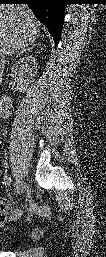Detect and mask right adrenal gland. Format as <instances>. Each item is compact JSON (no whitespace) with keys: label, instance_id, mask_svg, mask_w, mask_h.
<instances>
[{"label":"right adrenal gland","instance_id":"1","mask_svg":"<svg viewBox=\"0 0 106 257\" xmlns=\"http://www.w3.org/2000/svg\"><path fill=\"white\" fill-rule=\"evenodd\" d=\"M39 45H40V43L32 44V45L24 47L23 49H21L19 52L16 53V57L22 55L23 53H26L27 51H31L35 46H39Z\"/></svg>","mask_w":106,"mask_h":257}]
</instances>
